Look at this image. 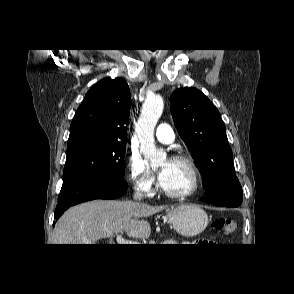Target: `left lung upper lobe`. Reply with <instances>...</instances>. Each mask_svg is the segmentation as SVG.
<instances>
[{"instance_id":"1","label":"left lung upper lobe","mask_w":294,"mask_h":294,"mask_svg":"<svg viewBox=\"0 0 294 294\" xmlns=\"http://www.w3.org/2000/svg\"><path fill=\"white\" fill-rule=\"evenodd\" d=\"M175 126L188 146L205 186V197L242 193L225 125L214 104L194 87L179 88L170 96Z\"/></svg>"}]
</instances>
